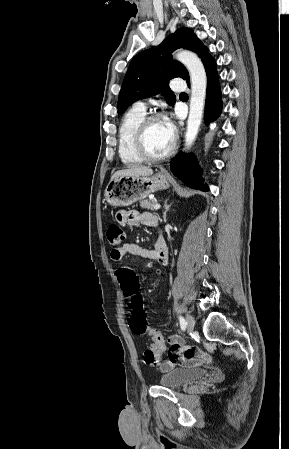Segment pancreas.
I'll list each match as a JSON object with an SVG mask.
<instances>
[{
    "label": "pancreas",
    "instance_id": "pancreas-1",
    "mask_svg": "<svg viewBox=\"0 0 289 449\" xmlns=\"http://www.w3.org/2000/svg\"><path fill=\"white\" fill-rule=\"evenodd\" d=\"M156 203H157V201L154 200V199H152V200H142V201H140V206L143 209L154 211V205Z\"/></svg>",
    "mask_w": 289,
    "mask_h": 449
}]
</instances>
